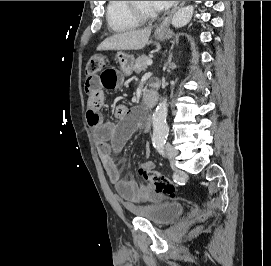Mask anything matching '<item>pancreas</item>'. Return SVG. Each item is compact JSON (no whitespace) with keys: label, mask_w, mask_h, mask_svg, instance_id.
<instances>
[{"label":"pancreas","mask_w":271,"mask_h":266,"mask_svg":"<svg viewBox=\"0 0 271 266\" xmlns=\"http://www.w3.org/2000/svg\"><path fill=\"white\" fill-rule=\"evenodd\" d=\"M150 60V57L146 55H141L135 60V64L133 65V70L136 73H139L147 68L146 61Z\"/></svg>","instance_id":"1"}]
</instances>
